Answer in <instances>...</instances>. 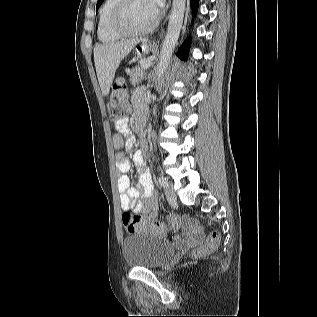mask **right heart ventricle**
<instances>
[{
    "mask_svg": "<svg viewBox=\"0 0 317 317\" xmlns=\"http://www.w3.org/2000/svg\"><path fill=\"white\" fill-rule=\"evenodd\" d=\"M118 0H104L100 11L97 26L98 39L103 43H112L122 36L115 33L111 28V17Z\"/></svg>",
    "mask_w": 317,
    "mask_h": 317,
    "instance_id": "1",
    "label": "right heart ventricle"
}]
</instances>
